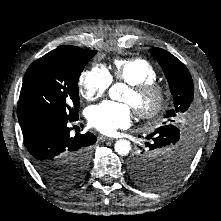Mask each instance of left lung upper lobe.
I'll return each mask as SVG.
<instances>
[{
	"instance_id": "1",
	"label": "left lung upper lobe",
	"mask_w": 221,
	"mask_h": 221,
	"mask_svg": "<svg viewBox=\"0 0 221 221\" xmlns=\"http://www.w3.org/2000/svg\"><path fill=\"white\" fill-rule=\"evenodd\" d=\"M151 54L163 68L174 96V108L166 114L167 122L147 137L150 140V143H146L147 148L134 154L140 164L136 169L130 168V174L137 185L147 189H159L176 181L189 164L191 149L186 144L178 145L179 129L169 122L183 113L184 116H192L194 85L186 66L171 53L154 47ZM162 130L173 134H163ZM169 137L173 138L168 139Z\"/></svg>"
}]
</instances>
